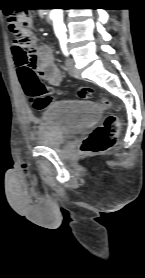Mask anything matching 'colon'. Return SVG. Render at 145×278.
Segmentation results:
<instances>
[{
	"mask_svg": "<svg viewBox=\"0 0 145 278\" xmlns=\"http://www.w3.org/2000/svg\"><path fill=\"white\" fill-rule=\"evenodd\" d=\"M7 24L15 41L23 51L31 52L33 49L30 40V16L25 10L19 9L11 12L7 16ZM22 89L27 94L31 106L38 111H42L46 106L54 101L50 95L51 90L38 78L34 72L26 73L22 78ZM93 93L90 87H79L77 96L86 100ZM101 103L105 107L111 106L108 98H102ZM119 120L115 115H108L102 124L97 126L90 135L83 140L81 151L84 154L93 155L107 151L116 141L119 130Z\"/></svg>",
	"mask_w": 145,
	"mask_h": 278,
	"instance_id": "obj_1",
	"label": "colon"
}]
</instances>
